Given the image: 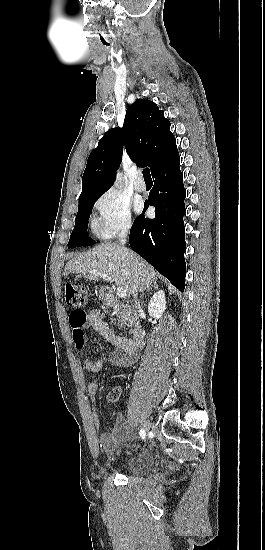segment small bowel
<instances>
[{"label": "small bowel", "instance_id": "c3829d8e", "mask_svg": "<svg viewBox=\"0 0 265 550\" xmlns=\"http://www.w3.org/2000/svg\"><path fill=\"white\" fill-rule=\"evenodd\" d=\"M87 327L99 334L107 343L116 349L111 357L112 364L120 368L131 367L138 358V351L132 349L130 339L115 334L108 324L100 318L96 311H91L87 315ZM84 329L82 334L76 339L77 345H83L84 343ZM105 359L100 357L96 360H87L85 362V368L91 373H98L104 366ZM99 388L98 381H92L88 386V395L94 400ZM128 429V423L122 414L115 416V427L108 433L99 432V439L104 449L108 450L112 443L123 440L126 437Z\"/></svg>", "mask_w": 265, "mask_h": 550}]
</instances>
